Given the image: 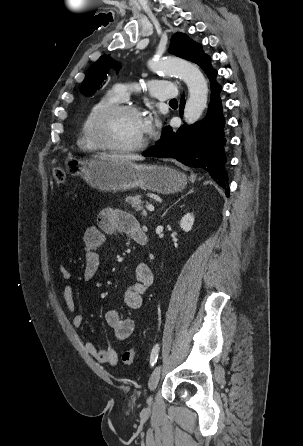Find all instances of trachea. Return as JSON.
<instances>
[{"label": "trachea", "instance_id": "obj_1", "mask_svg": "<svg viewBox=\"0 0 303 446\" xmlns=\"http://www.w3.org/2000/svg\"><path fill=\"white\" fill-rule=\"evenodd\" d=\"M169 103H177V100L176 99H172V100H170Z\"/></svg>", "mask_w": 303, "mask_h": 446}]
</instances>
